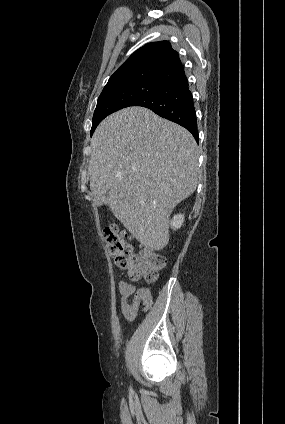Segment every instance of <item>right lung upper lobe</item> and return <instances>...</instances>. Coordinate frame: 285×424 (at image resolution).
Listing matches in <instances>:
<instances>
[{
  "label": "right lung upper lobe",
  "mask_w": 285,
  "mask_h": 424,
  "mask_svg": "<svg viewBox=\"0 0 285 424\" xmlns=\"http://www.w3.org/2000/svg\"><path fill=\"white\" fill-rule=\"evenodd\" d=\"M184 73L178 53L168 41L151 42L136 50L109 78L103 90L142 81L166 83Z\"/></svg>",
  "instance_id": "cb5924a9"
}]
</instances>
